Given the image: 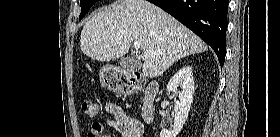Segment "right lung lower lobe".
<instances>
[{
	"label": "right lung lower lobe",
	"instance_id": "right-lung-lower-lobe-1",
	"mask_svg": "<svg viewBox=\"0 0 280 137\" xmlns=\"http://www.w3.org/2000/svg\"><path fill=\"white\" fill-rule=\"evenodd\" d=\"M172 15L215 51L223 66L226 54L227 0H148Z\"/></svg>",
	"mask_w": 280,
	"mask_h": 137
}]
</instances>
